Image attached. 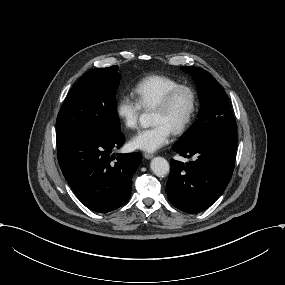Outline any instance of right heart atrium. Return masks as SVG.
Here are the masks:
<instances>
[{"label": "right heart atrium", "instance_id": "right-heart-atrium-1", "mask_svg": "<svg viewBox=\"0 0 285 285\" xmlns=\"http://www.w3.org/2000/svg\"><path fill=\"white\" fill-rule=\"evenodd\" d=\"M142 112L143 107L132 91L125 93L119 100L118 114L127 127L135 128Z\"/></svg>", "mask_w": 285, "mask_h": 285}]
</instances>
